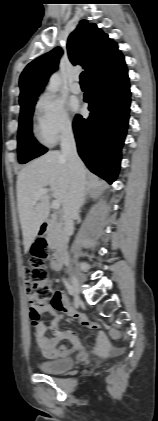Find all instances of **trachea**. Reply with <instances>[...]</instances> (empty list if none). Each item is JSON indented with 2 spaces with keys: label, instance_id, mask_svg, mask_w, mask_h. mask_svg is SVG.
Instances as JSON below:
<instances>
[{
  "label": "trachea",
  "instance_id": "3493384b",
  "mask_svg": "<svg viewBox=\"0 0 158 421\" xmlns=\"http://www.w3.org/2000/svg\"><path fill=\"white\" fill-rule=\"evenodd\" d=\"M80 83L81 84H87V76L85 72H82L80 75Z\"/></svg>",
  "mask_w": 158,
  "mask_h": 421
}]
</instances>
